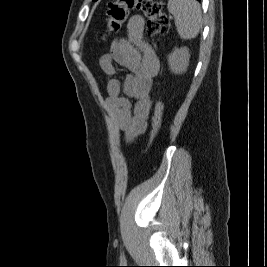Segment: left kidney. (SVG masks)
Listing matches in <instances>:
<instances>
[{"instance_id":"left-kidney-1","label":"left kidney","mask_w":267,"mask_h":267,"mask_svg":"<svg viewBox=\"0 0 267 267\" xmlns=\"http://www.w3.org/2000/svg\"><path fill=\"white\" fill-rule=\"evenodd\" d=\"M189 52L186 47L175 48L168 56V64L170 70L175 74H182L186 72L189 65Z\"/></svg>"}]
</instances>
